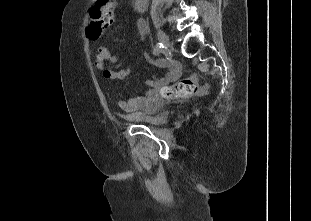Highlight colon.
<instances>
[{"label": "colon", "mask_w": 311, "mask_h": 221, "mask_svg": "<svg viewBox=\"0 0 311 221\" xmlns=\"http://www.w3.org/2000/svg\"><path fill=\"white\" fill-rule=\"evenodd\" d=\"M113 0H96L90 10L91 25L88 26V31L85 34L86 39H99V32L102 29H108L111 26L113 13ZM199 91L198 76L191 75L182 78L173 85L165 88L164 96L171 99L188 98Z\"/></svg>", "instance_id": "1"}]
</instances>
